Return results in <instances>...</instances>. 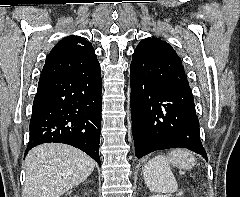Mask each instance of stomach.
Wrapping results in <instances>:
<instances>
[{"mask_svg":"<svg viewBox=\"0 0 240 197\" xmlns=\"http://www.w3.org/2000/svg\"><path fill=\"white\" fill-rule=\"evenodd\" d=\"M194 163L195 162L193 160H185V161L176 162L175 165L180 168L190 169L192 168V166H194Z\"/></svg>","mask_w":240,"mask_h":197,"instance_id":"1","label":"stomach"}]
</instances>
